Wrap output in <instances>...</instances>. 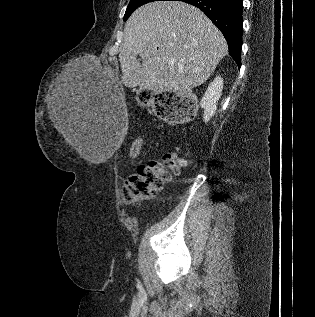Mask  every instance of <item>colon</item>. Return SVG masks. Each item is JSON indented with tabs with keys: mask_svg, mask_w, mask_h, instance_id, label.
<instances>
[{
	"mask_svg": "<svg viewBox=\"0 0 315 317\" xmlns=\"http://www.w3.org/2000/svg\"><path fill=\"white\" fill-rule=\"evenodd\" d=\"M154 111L165 121L182 122L192 119L196 111L195 100L187 94L169 90L156 91L153 96ZM141 153V139H136L130 148V156ZM185 158L178 153L166 154L162 161H150L140 165L124 184V200L128 204L153 197L162 189L172 175L178 174L185 165Z\"/></svg>",
	"mask_w": 315,
	"mask_h": 317,
	"instance_id": "1",
	"label": "colon"
}]
</instances>
